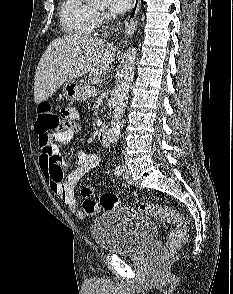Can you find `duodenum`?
<instances>
[{
	"mask_svg": "<svg viewBox=\"0 0 233 294\" xmlns=\"http://www.w3.org/2000/svg\"><path fill=\"white\" fill-rule=\"evenodd\" d=\"M98 139L103 146L109 144L108 129L106 126H101L98 130Z\"/></svg>",
	"mask_w": 233,
	"mask_h": 294,
	"instance_id": "duodenum-1",
	"label": "duodenum"
}]
</instances>
